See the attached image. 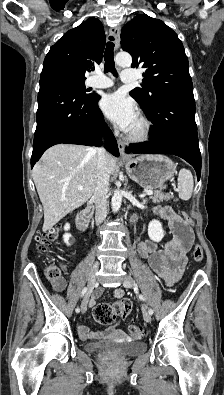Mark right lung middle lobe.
<instances>
[{
  "label": "right lung middle lobe",
  "mask_w": 224,
  "mask_h": 395,
  "mask_svg": "<svg viewBox=\"0 0 224 395\" xmlns=\"http://www.w3.org/2000/svg\"><path fill=\"white\" fill-rule=\"evenodd\" d=\"M45 80L55 82L56 84L71 90L80 97L92 96V94H88L85 89V79L76 78L61 71H50L45 74H41L40 82Z\"/></svg>",
  "instance_id": "obj_1"
}]
</instances>
